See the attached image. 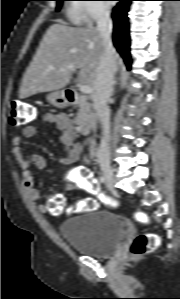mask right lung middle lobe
Returning <instances> with one entry per match:
<instances>
[{"label":"right lung middle lobe","instance_id":"obj_1","mask_svg":"<svg viewBox=\"0 0 180 299\" xmlns=\"http://www.w3.org/2000/svg\"><path fill=\"white\" fill-rule=\"evenodd\" d=\"M56 1H64V0H56ZM56 10H57V11H59V10H60V4H58V5H57V8H56Z\"/></svg>","mask_w":180,"mask_h":299}]
</instances>
